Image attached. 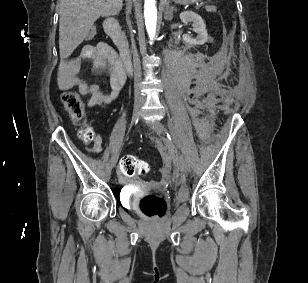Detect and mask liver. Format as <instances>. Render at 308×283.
<instances>
[{
	"mask_svg": "<svg viewBox=\"0 0 308 283\" xmlns=\"http://www.w3.org/2000/svg\"><path fill=\"white\" fill-rule=\"evenodd\" d=\"M123 0H60L59 51L69 57L83 42L94 22L101 16L117 14Z\"/></svg>",
	"mask_w": 308,
	"mask_h": 283,
	"instance_id": "liver-1",
	"label": "liver"
}]
</instances>
